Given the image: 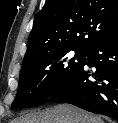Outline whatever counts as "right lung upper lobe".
<instances>
[{"mask_svg": "<svg viewBox=\"0 0 118 123\" xmlns=\"http://www.w3.org/2000/svg\"><path fill=\"white\" fill-rule=\"evenodd\" d=\"M118 36V0H46L35 15L23 64L52 50L88 51Z\"/></svg>", "mask_w": 118, "mask_h": 123, "instance_id": "cb5924a9", "label": "right lung upper lobe"}]
</instances>
